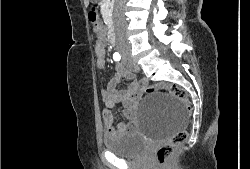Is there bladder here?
Masks as SVG:
<instances>
[{"label": "bladder", "mask_w": 250, "mask_h": 169, "mask_svg": "<svg viewBox=\"0 0 250 169\" xmlns=\"http://www.w3.org/2000/svg\"><path fill=\"white\" fill-rule=\"evenodd\" d=\"M144 136L145 134L136 132L108 133L103 138V145L117 157L138 158L150 147L144 142Z\"/></svg>", "instance_id": "obj_1"}]
</instances>
